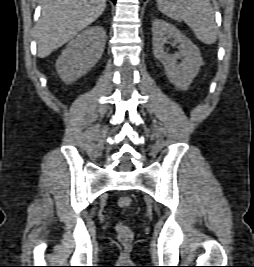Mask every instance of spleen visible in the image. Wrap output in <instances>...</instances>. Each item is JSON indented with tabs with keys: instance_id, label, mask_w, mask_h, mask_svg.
I'll return each instance as SVG.
<instances>
[{
	"instance_id": "spleen-1",
	"label": "spleen",
	"mask_w": 254,
	"mask_h": 267,
	"mask_svg": "<svg viewBox=\"0 0 254 267\" xmlns=\"http://www.w3.org/2000/svg\"><path fill=\"white\" fill-rule=\"evenodd\" d=\"M157 7L167 17L184 21L201 42H216L218 28L209 0H157Z\"/></svg>"
}]
</instances>
